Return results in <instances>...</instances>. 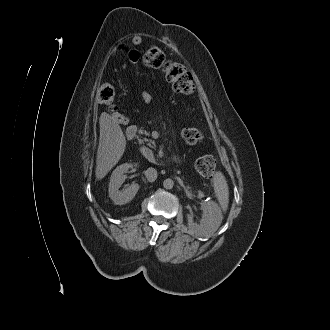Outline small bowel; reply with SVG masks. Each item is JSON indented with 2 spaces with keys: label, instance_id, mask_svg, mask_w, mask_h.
Returning a JSON list of instances; mask_svg holds the SVG:
<instances>
[{
  "label": "small bowel",
  "instance_id": "1",
  "mask_svg": "<svg viewBox=\"0 0 330 330\" xmlns=\"http://www.w3.org/2000/svg\"><path fill=\"white\" fill-rule=\"evenodd\" d=\"M140 42H141V38H140V37L136 36V37L133 38V43H134L135 45L140 44ZM123 49H124V46H123V45H121V46L118 47V50H123ZM131 52H135L136 55L133 56V55L131 54ZM131 52H130V60H131V63H132V64H136L137 61H138V58H139V54H138L137 51H131ZM140 98H141V100H142L145 104H150V103L152 102V100H153V96H152V94H151L150 92L146 91V90H144V91H142V92L140 93ZM126 121H127V120H126V117H125V120H124V122H122V123H125ZM119 123H120V122H119ZM128 128H129V127H128Z\"/></svg>",
  "mask_w": 330,
  "mask_h": 330
}]
</instances>
